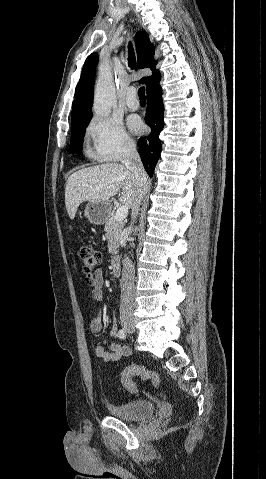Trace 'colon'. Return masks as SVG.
Returning <instances> with one entry per match:
<instances>
[{"mask_svg":"<svg viewBox=\"0 0 266 479\" xmlns=\"http://www.w3.org/2000/svg\"><path fill=\"white\" fill-rule=\"evenodd\" d=\"M75 257L80 265L81 272L90 277L95 267L101 261V253L93 246L84 244L76 249ZM133 377H139L142 380H150L154 387L160 385V378L158 373L152 370H147L140 366H128L121 372V382L124 388L129 392H136L137 385L133 382Z\"/></svg>","mask_w":266,"mask_h":479,"instance_id":"obj_1","label":"colon"}]
</instances>
